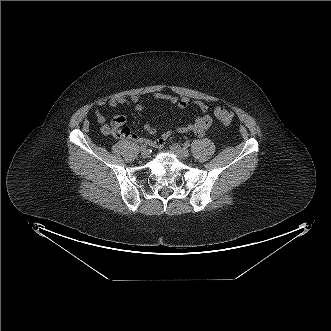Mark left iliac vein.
Listing matches in <instances>:
<instances>
[{"label": "left iliac vein", "instance_id": "left-iliac-vein-1", "mask_svg": "<svg viewBox=\"0 0 331 331\" xmlns=\"http://www.w3.org/2000/svg\"><path fill=\"white\" fill-rule=\"evenodd\" d=\"M170 149L174 154H176L181 159H188L189 157V151L185 148H182L180 145L176 143L172 144Z\"/></svg>", "mask_w": 331, "mask_h": 331}]
</instances>
